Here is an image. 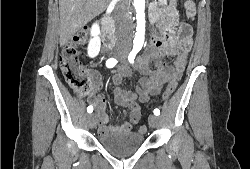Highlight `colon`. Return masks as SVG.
Wrapping results in <instances>:
<instances>
[{"label": "colon", "mask_w": 250, "mask_h": 169, "mask_svg": "<svg viewBox=\"0 0 250 169\" xmlns=\"http://www.w3.org/2000/svg\"><path fill=\"white\" fill-rule=\"evenodd\" d=\"M186 10L189 13L195 11V7L192 2L185 4ZM189 30L187 25L181 27V32L186 34ZM90 39L89 31L85 30L79 34H75L73 38H67L60 49L59 63L62 74L69 87L78 95L86 97L92 94V86L88 72L83 67L79 57L77 55V47L79 45H86ZM178 86V81L167 82V87L164 89V97H171L174 90ZM166 100L165 98L163 99ZM146 127L141 126L140 132H145Z\"/></svg>", "instance_id": "colon-1"}]
</instances>
